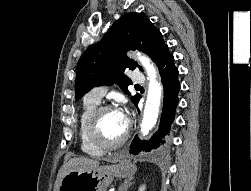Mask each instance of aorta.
I'll return each instance as SVG.
<instances>
[{
  "label": "aorta",
  "instance_id": "1",
  "mask_svg": "<svg viewBox=\"0 0 251 191\" xmlns=\"http://www.w3.org/2000/svg\"><path fill=\"white\" fill-rule=\"evenodd\" d=\"M135 58L139 60L143 68H145L149 80L147 99L143 111V119L140 123L141 131L143 135H147L148 131L154 127L160 109V101L162 97L163 88L159 82H157V72L150 60L142 54H135Z\"/></svg>",
  "mask_w": 251,
  "mask_h": 191
}]
</instances>
